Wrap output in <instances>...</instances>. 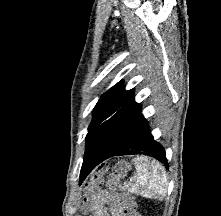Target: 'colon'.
I'll return each instance as SVG.
<instances>
[{
  "label": "colon",
  "mask_w": 221,
  "mask_h": 216,
  "mask_svg": "<svg viewBox=\"0 0 221 216\" xmlns=\"http://www.w3.org/2000/svg\"><path fill=\"white\" fill-rule=\"evenodd\" d=\"M107 166H103L93 175L87 188L83 203L85 206H92L100 199V184L107 174ZM124 165H120L111 176H107V190L110 198L115 202L122 216H139L136 210L134 196L126 192L117 182L116 177L124 172Z\"/></svg>",
  "instance_id": "colon-1"
}]
</instances>
